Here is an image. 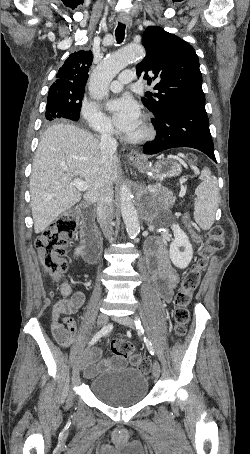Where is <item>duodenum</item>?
<instances>
[{
    "label": "duodenum",
    "mask_w": 250,
    "mask_h": 454,
    "mask_svg": "<svg viewBox=\"0 0 250 454\" xmlns=\"http://www.w3.org/2000/svg\"><path fill=\"white\" fill-rule=\"evenodd\" d=\"M81 216L83 257L88 263L96 264L100 249V236L93 221L94 209L91 206H85L81 210Z\"/></svg>",
    "instance_id": "1"
}]
</instances>
